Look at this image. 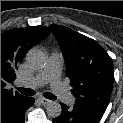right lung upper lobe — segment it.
<instances>
[{
    "label": "right lung upper lobe",
    "instance_id": "obj_1",
    "mask_svg": "<svg viewBox=\"0 0 123 123\" xmlns=\"http://www.w3.org/2000/svg\"><path fill=\"white\" fill-rule=\"evenodd\" d=\"M49 33V28L36 26L15 28L1 34V105L24 98L18 92L13 94L6 85L15 80V69L25 53Z\"/></svg>",
    "mask_w": 123,
    "mask_h": 123
}]
</instances>
